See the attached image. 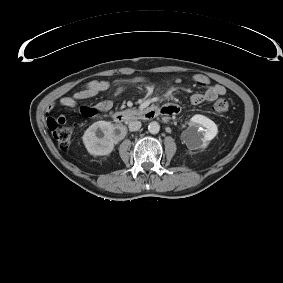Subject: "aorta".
Instances as JSON below:
<instances>
[{
  "label": "aorta",
  "instance_id": "1",
  "mask_svg": "<svg viewBox=\"0 0 283 283\" xmlns=\"http://www.w3.org/2000/svg\"><path fill=\"white\" fill-rule=\"evenodd\" d=\"M160 130V125L158 122L156 121H152L150 122L149 126H148V131L151 133V134H157Z\"/></svg>",
  "mask_w": 283,
  "mask_h": 283
}]
</instances>
